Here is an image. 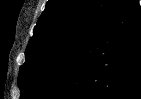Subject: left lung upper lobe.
<instances>
[{"mask_svg": "<svg viewBox=\"0 0 141 99\" xmlns=\"http://www.w3.org/2000/svg\"><path fill=\"white\" fill-rule=\"evenodd\" d=\"M122 0H49L20 67V99H38Z\"/></svg>", "mask_w": 141, "mask_h": 99, "instance_id": "1", "label": "left lung upper lobe"}]
</instances>
